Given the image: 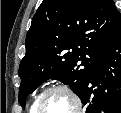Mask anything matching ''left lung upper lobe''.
Wrapping results in <instances>:
<instances>
[{
	"mask_svg": "<svg viewBox=\"0 0 121 113\" xmlns=\"http://www.w3.org/2000/svg\"><path fill=\"white\" fill-rule=\"evenodd\" d=\"M120 22L112 0H43L32 19L19 67L21 106L48 79L68 84L80 97Z\"/></svg>",
	"mask_w": 121,
	"mask_h": 113,
	"instance_id": "obj_1",
	"label": "left lung upper lobe"
}]
</instances>
